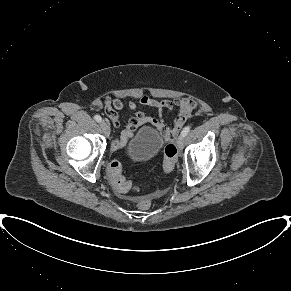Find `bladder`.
Wrapping results in <instances>:
<instances>
[{"label":"bladder","mask_w":291,"mask_h":291,"mask_svg":"<svg viewBox=\"0 0 291 291\" xmlns=\"http://www.w3.org/2000/svg\"><path fill=\"white\" fill-rule=\"evenodd\" d=\"M164 139L155 129L144 126L126 145V154L132 161L146 162L154 158L162 149Z\"/></svg>","instance_id":"obj_1"}]
</instances>
